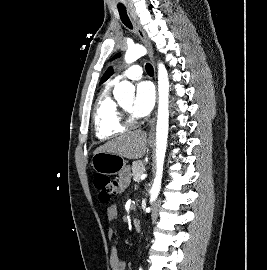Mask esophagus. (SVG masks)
Instances as JSON below:
<instances>
[{
  "instance_id": "1",
  "label": "esophagus",
  "mask_w": 267,
  "mask_h": 270,
  "mask_svg": "<svg viewBox=\"0 0 267 270\" xmlns=\"http://www.w3.org/2000/svg\"><path fill=\"white\" fill-rule=\"evenodd\" d=\"M130 15L133 21V24L135 26L136 32L138 34V36L140 37V39L142 40V42L144 43L145 47L148 50L149 53V57L150 60L152 61V65L154 68V73L156 75V68H155V62H154V56H153V50H152V45L145 33V31L143 30L141 24L139 23L136 14L134 13V11L132 9H130ZM155 122H156V113L155 116L152 118L151 122H150V130H149V137L152 138L154 137V133H155Z\"/></svg>"
}]
</instances>
